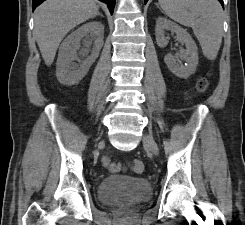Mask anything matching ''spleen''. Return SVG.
<instances>
[{
  "label": "spleen",
  "instance_id": "spleen-1",
  "mask_svg": "<svg viewBox=\"0 0 245 225\" xmlns=\"http://www.w3.org/2000/svg\"><path fill=\"white\" fill-rule=\"evenodd\" d=\"M164 13L191 27L204 56L217 57L223 35V10L217 0H158Z\"/></svg>",
  "mask_w": 245,
  "mask_h": 225
}]
</instances>
